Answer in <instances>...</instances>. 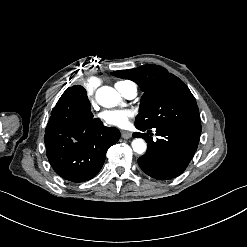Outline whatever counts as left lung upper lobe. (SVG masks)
Instances as JSON below:
<instances>
[{
	"label": "left lung upper lobe",
	"instance_id": "5c2ea615",
	"mask_svg": "<svg viewBox=\"0 0 247 247\" xmlns=\"http://www.w3.org/2000/svg\"><path fill=\"white\" fill-rule=\"evenodd\" d=\"M111 75L136 82L144 91L135 126L144 129L176 128L201 135L196 100L189 88L167 69L147 64Z\"/></svg>",
	"mask_w": 247,
	"mask_h": 247
}]
</instances>
